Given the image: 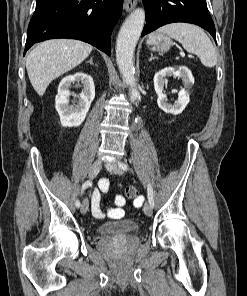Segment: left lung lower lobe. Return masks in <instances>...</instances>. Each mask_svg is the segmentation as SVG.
Returning <instances> with one entry per match:
<instances>
[{"mask_svg":"<svg viewBox=\"0 0 247 296\" xmlns=\"http://www.w3.org/2000/svg\"><path fill=\"white\" fill-rule=\"evenodd\" d=\"M147 16L144 36L169 23L186 22L206 29L215 39V26L206 0H143Z\"/></svg>","mask_w":247,"mask_h":296,"instance_id":"obj_1","label":"left lung lower lobe"}]
</instances>
